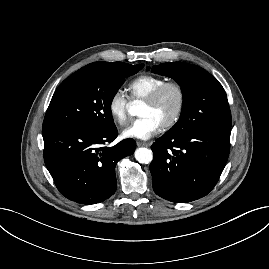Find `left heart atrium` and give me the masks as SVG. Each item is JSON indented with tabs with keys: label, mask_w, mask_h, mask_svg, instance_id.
Masks as SVG:
<instances>
[{
	"label": "left heart atrium",
	"mask_w": 269,
	"mask_h": 269,
	"mask_svg": "<svg viewBox=\"0 0 269 269\" xmlns=\"http://www.w3.org/2000/svg\"><path fill=\"white\" fill-rule=\"evenodd\" d=\"M162 125L152 116H142L132 121L123 131L124 138L147 140L160 131Z\"/></svg>",
	"instance_id": "39dd6f15"
}]
</instances>
